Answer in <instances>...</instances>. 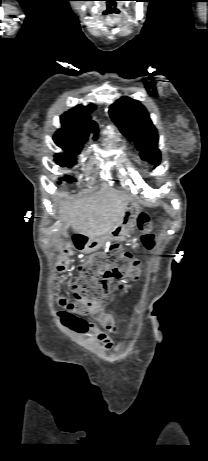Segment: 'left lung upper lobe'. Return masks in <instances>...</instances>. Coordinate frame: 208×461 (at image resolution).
<instances>
[{
    "label": "left lung upper lobe",
    "mask_w": 208,
    "mask_h": 461,
    "mask_svg": "<svg viewBox=\"0 0 208 461\" xmlns=\"http://www.w3.org/2000/svg\"><path fill=\"white\" fill-rule=\"evenodd\" d=\"M109 114L120 131L135 142L142 158L157 166L161 159L158 134L145 107L137 100L121 97L111 105Z\"/></svg>",
    "instance_id": "left-lung-upper-lobe-1"
}]
</instances>
